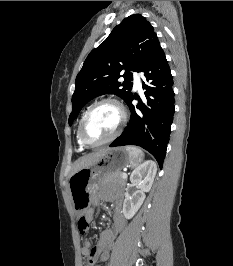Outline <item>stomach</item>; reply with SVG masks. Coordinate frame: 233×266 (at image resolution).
Returning <instances> with one entry per match:
<instances>
[{
  "label": "stomach",
  "instance_id": "1",
  "mask_svg": "<svg viewBox=\"0 0 233 266\" xmlns=\"http://www.w3.org/2000/svg\"><path fill=\"white\" fill-rule=\"evenodd\" d=\"M132 162L126 148H109L99 161L71 175L69 190L76 215L80 217L88 209L92 194L98 190L107 173L121 172Z\"/></svg>",
  "mask_w": 233,
  "mask_h": 266
}]
</instances>
